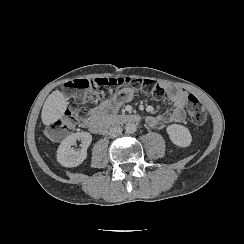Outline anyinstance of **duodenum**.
Segmentation results:
<instances>
[{
  "label": "duodenum",
  "mask_w": 244,
  "mask_h": 244,
  "mask_svg": "<svg viewBox=\"0 0 244 244\" xmlns=\"http://www.w3.org/2000/svg\"><path fill=\"white\" fill-rule=\"evenodd\" d=\"M141 121V116L139 114H123V115H107L105 116L101 123L96 126L94 132L97 135L104 134L110 127L125 123H136Z\"/></svg>",
  "instance_id": "obj_1"
}]
</instances>
